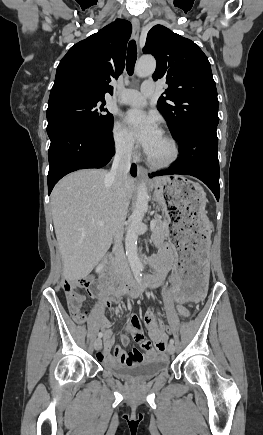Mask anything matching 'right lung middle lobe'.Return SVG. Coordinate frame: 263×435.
Wrapping results in <instances>:
<instances>
[{"instance_id": "1", "label": "right lung middle lobe", "mask_w": 263, "mask_h": 435, "mask_svg": "<svg viewBox=\"0 0 263 435\" xmlns=\"http://www.w3.org/2000/svg\"><path fill=\"white\" fill-rule=\"evenodd\" d=\"M103 99H76L48 106L47 133L60 126L79 125L99 133L112 130L113 115L103 106Z\"/></svg>"}]
</instances>
